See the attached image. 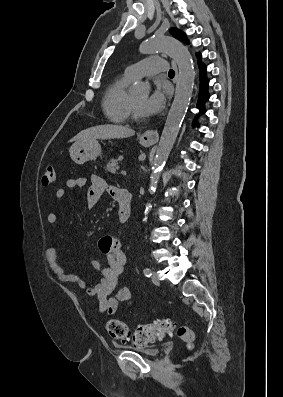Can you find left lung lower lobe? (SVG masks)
Returning a JSON list of instances; mask_svg holds the SVG:
<instances>
[{"label": "left lung lower lobe", "mask_w": 283, "mask_h": 397, "mask_svg": "<svg viewBox=\"0 0 283 397\" xmlns=\"http://www.w3.org/2000/svg\"><path fill=\"white\" fill-rule=\"evenodd\" d=\"M198 57L199 59L201 58L200 53L198 54ZM199 67H200V94H199L197 107L200 108L201 113H204L205 112L204 103L209 99V94L207 90L209 81L205 76L206 73L205 65L199 62Z\"/></svg>", "instance_id": "obj_1"}]
</instances>
